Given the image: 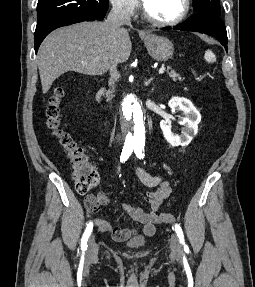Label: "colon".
Returning <instances> with one entry per match:
<instances>
[{
  "instance_id": "colon-1",
  "label": "colon",
  "mask_w": 255,
  "mask_h": 287,
  "mask_svg": "<svg viewBox=\"0 0 255 287\" xmlns=\"http://www.w3.org/2000/svg\"><path fill=\"white\" fill-rule=\"evenodd\" d=\"M63 95L62 88L55 89L46 109V125L58 140L69 160L72 170L71 176L77 192L85 194L98 184L99 177L85 150L77 144L68 132L61 128L60 101ZM160 217L163 222L169 224L176 220L175 216L170 213H162Z\"/></svg>"
}]
</instances>
